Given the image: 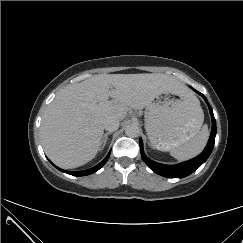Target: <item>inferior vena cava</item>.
<instances>
[{"mask_svg":"<svg viewBox=\"0 0 243 243\" xmlns=\"http://www.w3.org/2000/svg\"><path fill=\"white\" fill-rule=\"evenodd\" d=\"M120 122L116 118H107L104 120L103 127L109 132L116 131L119 128Z\"/></svg>","mask_w":243,"mask_h":243,"instance_id":"1","label":"inferior vena cava"}]
</instances>
